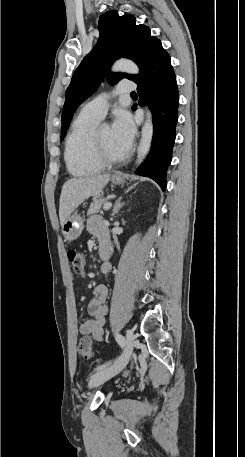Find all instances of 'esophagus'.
Returning a JSON list of instances; mask_svg holds the SVG:
<instances>
[{
    "label": "esophagus",
    "instance_id": "34e87169",
    "mask_svg": "<svg viewBox=\"0 0 245 457\" xmlns=\"http://www.w3.org/2000/svg\"><path fill=\"white\" fill-rule=\"evenodd\" d=\"M114 176H120V174L115 173Z\"/></svg>",
    "mask_w": 245,
    "mask_h": 457
}]
</instances>
